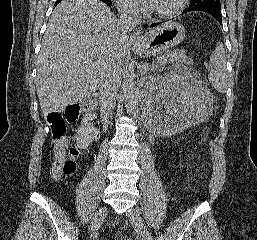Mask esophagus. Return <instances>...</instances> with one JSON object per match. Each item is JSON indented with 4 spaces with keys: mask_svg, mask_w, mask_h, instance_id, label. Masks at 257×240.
I'll list each match as a JSON object with an SVG mask.
<instances>
[{
    "mask_svg": "<svg viewBox=\"0 0 257 240\" xmlns=\"http://www.w3.org/2000/svg\"><path fill=\"white\" fill-rule=\"evenodd\" d=\"M131 43L133 44H139L143 41V37H142V29L141 28H137L135 30V32L132 34L131 38H130Z\"/></svg>",
    "mask_w": 257,
    "mask_h": 240,
    "instance_id": "1",
    "label": "esophagus"
}]
</instances>
